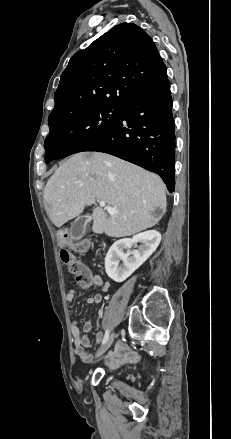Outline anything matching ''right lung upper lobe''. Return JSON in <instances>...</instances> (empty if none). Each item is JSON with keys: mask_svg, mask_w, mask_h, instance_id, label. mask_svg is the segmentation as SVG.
<instances>
[{"mask_svg": "<svg viewBox=\"0 0 231 439\" xmlns=\"http://www.w3.org/2000/svg\"><path fill=\"white\" fill-rule=\"evenodd\" d=\"M167 81L151 37L133 23L119 24L72 56L48 121L93 107L121 110L136 95Z\"/></svg>", "mask_w": 231, "mask_h": 439, "instance_id": "1", "label": "right lung upper lobe"}]
</instances>
